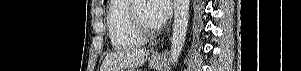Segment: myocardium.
Returning <instances> with one entry per match:
<instances>
[{
    "label": "myocardium",
    "instance_id": "obj_1",
    "mask_svg": "<svg viewBox=\"0 0 301 71\" xmlns=\"http://www.w3.org/2000/svg\"><path fill=\"white\" fill-rule=\"evenodd\" d=\"M141 0H132L129 6V16L131 19L132 26L136 33L141 36L143 39H148L153 37L157 29L155 27H150L145 24L138 15L137 12V3Z\"/></svg>",
    "mask_w": 301,
    "mask_h": 71
}]
</instances>
